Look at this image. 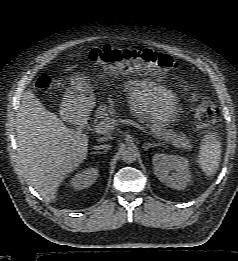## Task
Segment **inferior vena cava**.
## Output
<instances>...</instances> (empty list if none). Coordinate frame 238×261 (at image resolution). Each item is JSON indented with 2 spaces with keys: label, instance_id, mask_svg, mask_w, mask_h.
<instances>
[{
  "label": "inferior vena cava",
  "instance_id": "inferior-vena-cava-1",
  "mask_svg": "<svg viewBox=\"0 0 238 261\" xmlns=\"http://www.w3.org/2000/svg\"><path fill=\"white\" fill-rule=\"evenodd\" d=\"M109 145H100V146H95L94 147V149L95 150H101V149H105V150H107V149H109Z\"/></svg>",
  "mask_w": 238,
  "mask_h": 261
}]
</instances>
